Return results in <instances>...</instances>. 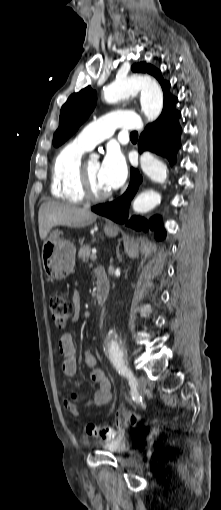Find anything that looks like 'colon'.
<instances>
[{"mask_svg":"<svg viewBox=\"0 0 221 510\" xmlns=\"http://www.w3.org/2000/svg\"><path fill=\"white\" fill-rule=\"evenodd\" d=\"M49 307L53 322L61 328L67 324L74 314L73 304L62 294L53 295L50 298ZM117 414L121 415L126 423L135 424L140 419L138 414L124 410L117 411ZM85 431L93 437L112 438L114 436V431L111 428L99 427L94 424H87Z\"/></svg>","mask_w":221,"mask_h":510,"instance_id":"obj_1","label":"colon"}]
</instances>
